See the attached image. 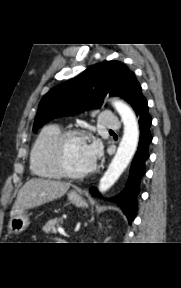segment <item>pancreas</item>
<instances>
[{"label": "pancreas", "instance_id": "1", "mask_svg": "<svg viewBox=\"0 0 181 288\" xmlns=\"http://www.w3.org/2000/svg\"><path fill=\"white\" fill-rule=\"evenodd\" d=\"M63 223V220L61 218H55L49 220L44 226H43V231L45 233H57V227Z\"/></svg>", "mask_w": 181, "mask_h": 288}]
</instances>
